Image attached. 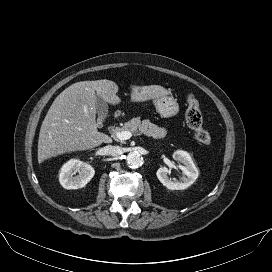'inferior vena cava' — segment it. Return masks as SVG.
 Masks as SVG:
<instances>
[{
	"label": "inferior vena cava",
	"mask_w": 272,
	"mask_h": 272,
	"mask_svg": "<svg viewBox=\"0 0 272 272\" xmlns=\"http://www.w3.org/2000/svg\"><path fill=\"white\" fill-rule=\"evenodd\" d=\"M105 149H106V153L109 156H118L122 153V150L119 146L108 145L105 147Z\"/></svg>",
	"instance_id": "1"
}]
</instances>
